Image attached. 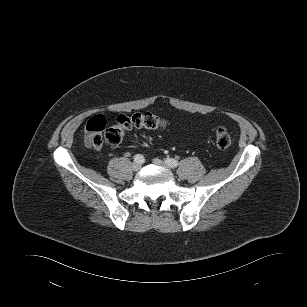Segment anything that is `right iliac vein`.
Masks as SVG:
<instances>
[{
	"label": "right iliac vein",
	"instance_id": "right-iliac-vein-1",
	"mask_svg": "<svg viewBox=\"0 0 307 307\" xmlns=\"http://www.w3.org/2000/svg\"><path fill=\"white\" fill-rule=\"evenodd\" d=\"M132 168H133L134 171H139L141 169V163L135 161L132 164Z\"/></svg>",
	"mask_w": 307,
	"mask_h": 307
}]
</instances>
